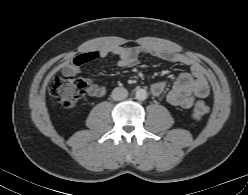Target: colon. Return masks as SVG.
I'll use <instances>...</instances> for the list:
<instances>
[{
    "instance_id": "colon-1",
    "label": "colon",
    "mask_w": 248,
    "mask_h": 195,
    "mask_svg": "<svg viewBox=\"0 0 248 195\" xmlns=\"http://www.w3.org/2000/svg\"><path fill=\"white\" fill-rule=\"evenodd\" d=\"M49 91L62 107L71 108L85 94L86 84L82 79L72 75L55 77L50 83ZM207 112V104L203 100H197L192 106L191 116L194 119H201Z\"/></svg>"
}]
</instances>
